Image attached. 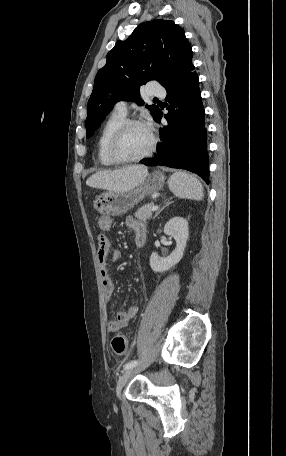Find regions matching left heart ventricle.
<instances>
[{
	"label": "left heart ventricle",
	"mask_w": 286,
	"mask_h": 456,
	"mask_svg": "<svg viewBox=\"0 0 286 456\" xmlns=\"http://www.w3.org/2000/svg\"><path fill=\"white\" fill-rule=\"evenodd\" d=\"M148 129L142 125L129 127L121 136L117 150L126 158H135L144 154L150 145Z\"/></svg>",
	"instance_id": "obj_1"
}]
</instances>
